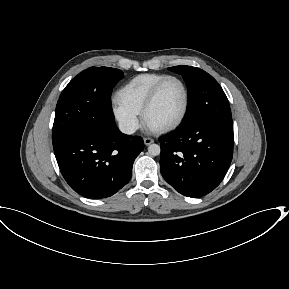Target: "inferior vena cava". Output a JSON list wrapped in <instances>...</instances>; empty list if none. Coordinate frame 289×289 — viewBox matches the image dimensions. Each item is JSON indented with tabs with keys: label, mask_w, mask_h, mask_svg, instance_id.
I'll use <instances>...</instances> for the list:
<instances>
[{
	"label": "inferior vena cava",
	"mask_w": 289,
	"mask_h": 289,
	"mask_svg": "<svg viewBox=\"0 0 289 289\" xmlns=\"http://www.w3.org/2000/svg\"><path fill=\"white\" fill-rule=\"evenodd\" d=\"M119 130L124 134H133L137 130V126L131 123H119Z\"/></svg>",
	"instance_id": "obj_1"
}]
</instances>
